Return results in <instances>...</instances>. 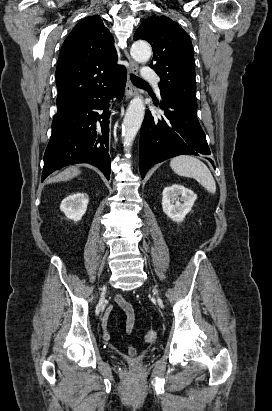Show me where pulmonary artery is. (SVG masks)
<instances>
[{
    "label": "pulmonary artery",
    "mask_w": 272,
    "mask_h": 411,
    "mask_svg": "<svg viewBox=\"0 0 272 411\" xmlns=\"http://www.w3.org/2000/svg\"><path fill=\"white\" fill-rule=\"evenodd\" d=\"M141 77L143 80H149V81H154V82L158 81L157 73L155 72V70L149 67H145L142 70Z\"/></svg>",
    "instance_id": "obj_1"
}]
</instances>
